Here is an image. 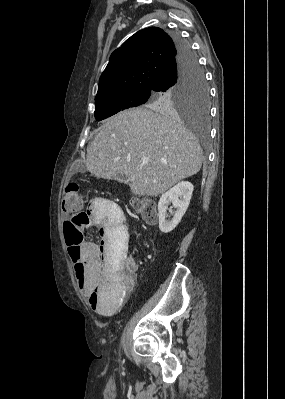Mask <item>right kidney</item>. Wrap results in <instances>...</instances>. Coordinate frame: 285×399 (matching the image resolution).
Wrapping results in <instances>:
<instances>
[{
	"label": "right kidney",
	"mask_w": 285,
	"mask_h": 399,
	"mask_svg": "<svg viewBox=\"0 0 285 399\" xmlns=\"http://www.w3.org/2000/svg\"><path fill=\"white\" fill-rule=\"evenodd\" d=\"M193 185L188 181L179 182L164 193L158 202L159 229L163 233L171 232L184 216L192 196ZM172 203L176 209L172 220L167 221L168 205Z\"/></svg>",
	"instance_id": "right-kidney-1"
}]
</instances>
